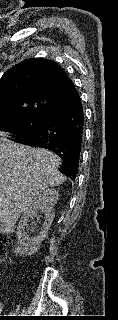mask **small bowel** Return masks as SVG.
<instances>
[{
	"label": "small bowel",
	"mask_w": 118,
	"mask_h": 320,
	"mask_svg": "<svg viewBox=\"0 0 118 320\" xmlns=\"http://www.w3.org/2000/svg\"><path fill=\"white\" fill-rule=\"evenodd\" d=\"M2 311H3V304H2V302L0 301V314L2 313Z\"/></svg>",
	"instance_id": "obj_1"
}]
</instances>
